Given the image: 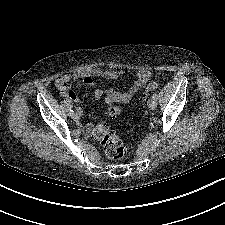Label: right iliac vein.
Returning a JSON list of instances; mask_svg holds the SVG:
<instances>
[{
	"mask_svg": "<svg viewBox=\"0 0 225 225\" xmlns=\"http://www.w3.org/2000/svg\"><path fill=\"white\" fill-rule=\"evenodd\" d=\"M72 118L74 119V121L78 122L79 119H80V115H79L78 113H74V114L72 115Z\"/></svg>",
	"mask_w": 225,
	"mask_h": 225,
	"instance_id": "63e3f726",
	"label": "right iliac vein"
}]
</instances>
